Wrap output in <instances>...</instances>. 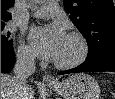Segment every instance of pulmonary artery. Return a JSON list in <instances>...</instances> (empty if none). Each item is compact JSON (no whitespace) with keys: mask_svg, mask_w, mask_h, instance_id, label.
Wrapping results in <instances>:
<instances>
[{"mask_svg":"<svg viewBox=\"0 0 115 99\" xmlns=\"http://www.w3.org/2000/svg\"><path fill=\"white\" fill-rule=\"evenodd\" d=\"M59 14V6L54 1L45 2L33 15L40 18H53Z\"/></svg>","mask_w":115,"mask_h":99,"instance_id":"1","label":"pulmonary artery"}]
</instances>
